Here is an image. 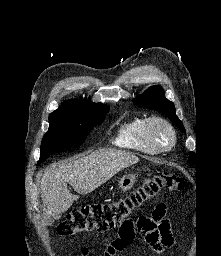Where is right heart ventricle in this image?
Instances as JSON below:
<instances>
[{"label":"right heart ventricle","instance_id":"right-heart-ventricle-1","mask_svg":"<svg viewBox=\"0 0 221 256\" xmlns=\"http://www.w3.org/2000/svg\"><path fill=\"white\" fill-rule=\"evenodd\" d=\"M145 121L146 119L143 117H134L122 123L116 132L113 143L119 147L155 154L156 151L145 139Z\"/></svg>","mask_w":221,"mask_h":256}]
</instances>
